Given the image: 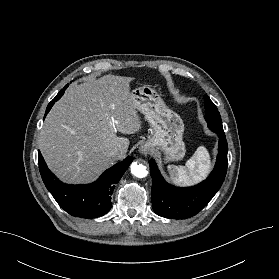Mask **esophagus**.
Returning a JSON list of instances; mask_svg holds the SVG:
<instances>
[{"instance_id": "34e87169", "label": "esophagus", "mask_w": 279, "mask_h": 279, "mask_svg": "<svg viewBox=\"0 0 279 279\" xmlns=\"http://www.w3.org/2000/svg\"><path fill=\"white\" fill-rule=\"evenodd\" d=\"M150 150H151V147L149 144H144L139 148V152L144 155L149 154Z\"/></svg>"}]
</instances>
